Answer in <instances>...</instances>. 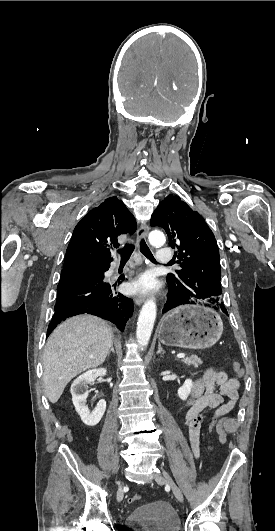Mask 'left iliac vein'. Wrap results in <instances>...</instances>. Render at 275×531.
Segmentation results:
<instances>
[{
	"mask_svg": "<svg viewBox=\"0 0 275 531\" xmlns=\"http://www.w3.org/2000/svg\"><path fill=\"white\" fill-rule=\"evenodd\" d=\"M162 472H163V475H157L155 477L156 479V482L158 484H161V483H164V484H168L171 489H172V492L173 494L175 495V497L180 501V502H183L184 501V497H183V494L181 492V490L179 489V487L176 485V483L173 481V479L169 476L168 473H166V471L164 470V468L162 467Z\"/></svg>",
	"mask_w": 275,
	"mask_h": 531,
	"instance_id": "1",
	"label": "left iliac vein"
}]
</instances>
